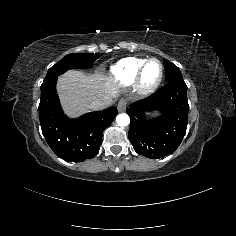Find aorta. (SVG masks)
<instances>
[{
    "instance_id": "aorta-1",
    "label": "aorta",
    "mask_w": 236,
    "mask_h": 236,
    "mask_svg": "<svg viewBox=\"0 0 236 236\" xmlns=\"http://www.w3.org/2000/svg\"><path fill=\"white\" fill-rule=\"evenodd\" d=\"M116 122L119 126H128L130 123V118L127 114L121 113L116 117Z\"/></svg>"
}]
</instances>
